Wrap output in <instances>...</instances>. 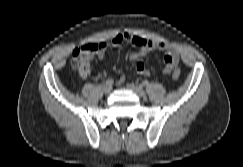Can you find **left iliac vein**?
<instances>
[{
  "label": "left iliac vein",
  "instance_id": "obj_1",
  "mask_svg": "<svg viewBox=\"0 0 243 167\" xmlns=\"http://www.w3.org/2000/svg\"><path fill=\"white\" fill-rule=\"evenodd\" d=\"M127 87H128V89L132 90L139 97L145 96V91L143 90L142 87L137 86L133 83L127 84Z\"/></svg>",
  "mask_w": 243,
  "mask_h": 167
}]
</instances>
